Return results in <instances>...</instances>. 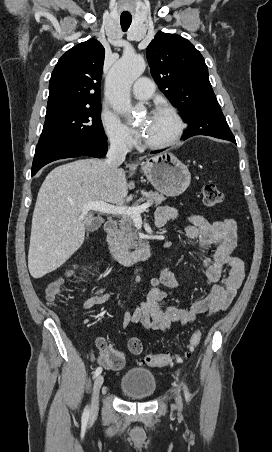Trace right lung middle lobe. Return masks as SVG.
I'll return each instance as SVG.
<instances>
[{"label":"right lung middle lobe","mask_w":272,"mask_h":452,"mask_svg":"<svg viewBox=\"0 0 272 452\" xmlns=\"http://www.w3.org/2000/svg\"><path fill=\"white\" fill-rule=\"evenodd\" d=\"M70 141H107L101 123V105L46 114L38 145Z\"/></svg>","instance_id":"1"}]
</instances>
